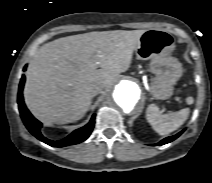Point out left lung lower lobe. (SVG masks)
I'll return each mask as SVG.
<instances>
[{
  "mask_svg": "<svg viewBox=\"0 0 212 183\" xmlns=\"http://www.w3.org/2000/svg\"><path fill=\"white\" fill-rule=\"evenodd\" d=\"M184 131V130H183ZM183 131L179 132L178 134L174 135V136H171V137H167L165 139H163L162 141H160L159 143H157L156 145H163V144H166V143H169L173 140H175L177 137H179Z\"/></svg>",
  "mask_w": 212,
  "mask_h": 183,
  "instance_id": "obj_1",
  "label": "left lung lower lobe"
}]
</instances>
